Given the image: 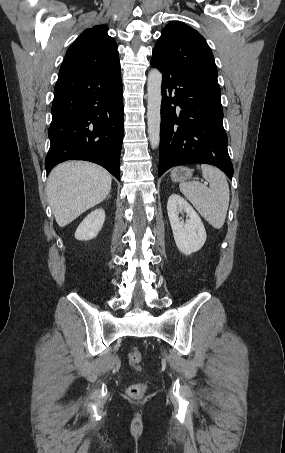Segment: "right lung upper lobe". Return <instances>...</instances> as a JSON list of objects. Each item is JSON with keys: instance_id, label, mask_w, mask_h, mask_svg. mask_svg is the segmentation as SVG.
<instances>
[{"instance_id": "right-lung-upper-lobe-1", "label": "right lung upper lobe", "mask_w": 285, "mask_h": 453, "mask_svg": "<svg viewBox=\"0 0 285 453\" xmlns=\"http://www.w3.org/2000/svg\"><path fill=\"white\" fill-rule=\"evenodd\" d=\"M107 30L105 25L86 29L67 50L59 74H97L120 69L117 44Z\"/></svg>"}]
</instances>
